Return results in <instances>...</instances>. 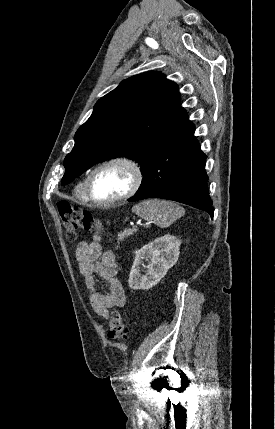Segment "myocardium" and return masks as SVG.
<instances>
[{
	"instance_id": "f54148a6",
	"label": "myocardium",
	"mask_w": 275,
	"mask_h": 429,
	"mask_svg": "<svg viewBox=\"0 0 275 429\" xmlns=\"http://www.w3.org/2000/svg\"><path fill=\"white\" fill-rule=\"evenodd\" d=\"M112 165H122L129 170L131 174L130 185L123 194L117 197H114L108 200H98L92 194V180L95 174L99 170ZM142 180H143V174H142L141 168L134 160L126 156H115L102 161L90 171L86 180L85 193H86L87 199L94 204L101 205V206L112 205L132 197L140 188Z\"/></svg>"
}]
</instances>
